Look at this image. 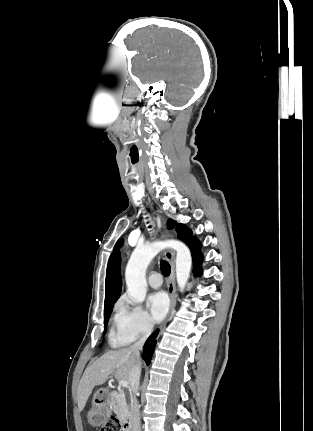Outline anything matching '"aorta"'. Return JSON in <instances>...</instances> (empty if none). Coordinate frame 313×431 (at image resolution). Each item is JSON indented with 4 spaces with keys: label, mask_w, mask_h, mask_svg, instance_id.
Listing matches in <instances>:
<instances>
[{
    "label": "aorta",
    "mask_w": 313,
    "mask_h": 431,
    "mask_svg": "<svg viewBox=\"0 0 313 431\" xmlns=\"http://www.w3.org/2000/svg\"><path fill=\"white\" fill-rule=\"evenodd\" d=\"M172 248L177 252L176 278L180 291L185 289L189 279L192 257L189 248L177 240L157 241L135 248L128 261L125 280L130 296L137 302H143L147 293L146 269L153 258L163 249Z\"/></svg>",
    "instance_id": "762f6f07"
}]
</instances>
